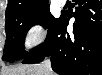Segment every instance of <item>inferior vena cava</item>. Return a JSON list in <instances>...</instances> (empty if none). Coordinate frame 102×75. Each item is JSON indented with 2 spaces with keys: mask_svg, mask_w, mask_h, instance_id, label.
Segmentation results:
<instances>
[{
  "mask_svg": "<svg viewBox=\"0 0 102 75\" xmlns=\"http://www.w3.org/2000/svg\"><path fill=\"white\" fill-rule=\"evenodd\" d=\"M44 64H45V66H46L49 70H51V62H50V59H46V60L44 61Z\"/></svg>",
  "mask_w": 102,
  "mask_h": 75,
  "instance_id": "602c4592",
  "label": "inferior vena cava"
}]
</instances>
